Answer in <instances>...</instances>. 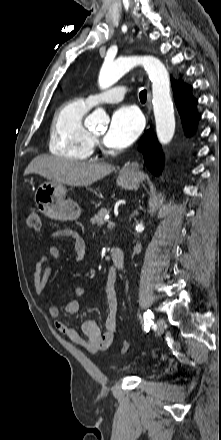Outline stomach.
Masks as SVG:
<instances>
[{"mask_svg": "<svg viewBox=\"0 0 221 440\" xmlns=\"http://www.w3.org/2000/svg\"><path fill=\"white\" fill-rule=\"evenodd\" d=\"M139 176L132 170L123 168L117 177V184L124 189H138ZM66 187L54 181L44 182L36 189L34 200L40 212L45 216L60 220H74L81 214L79 205L66 199Z\"/></svg>", "mask_w": 221, "mask_h": 440, "instance_id": "obj_1", "label": "stomach"}]
</instances>
